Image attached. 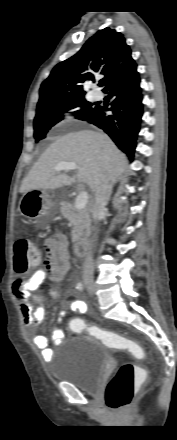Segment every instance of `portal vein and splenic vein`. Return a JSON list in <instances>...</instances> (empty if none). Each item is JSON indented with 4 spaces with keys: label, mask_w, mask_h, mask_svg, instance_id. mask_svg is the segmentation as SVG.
Masks as SVG:
<instances>
[{
    "label": "portal vein and splenic vein",
    "mask_w": 177,
    "mask_h": 440,
    "mask_svg": "<svg viewBox=\"0 0 177 440\" xmlns=\"http://www.w3.org/2000/svg\"><path fill=\"white\" fill-rule=\"evenodd\" d=\"M78 166L74 162H60L56 165L55 171H63V170H75ZM88 202V193L83 191L81 192L76 200H75V207L76 209H84Z\"/></svg>",
    "instance_id": "1"
}]
</instances>
